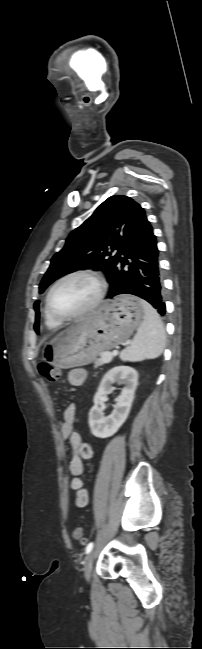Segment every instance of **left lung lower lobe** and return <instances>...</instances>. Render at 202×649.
Returning a JSON list of instances; mask_svg holds the SVG:
<instances>
[{
    "label": "left lung lower lobe",
    "mask_w": 202,
    "mask_h": 649,
    "mask_svg": "<svg viewBox=\"0 0 202 649\" xmlns=\"http://www.w3.org/2000/svg\"><path fill=\"white\" fill-rule=\"evenodd\" d=\"M120 258L111 275L112 290L107 298L132 294L147 300L162 315V278L158 248L153 229L146 216L127 235L120 249Z\"/></svg>",
    "instance_id": "1"
}]
</instances>
